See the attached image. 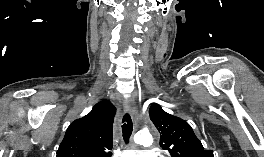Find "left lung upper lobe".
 Listing matches in <instances>:
<instances>
[{
    "mask_svg": "<svg viewBox=\"0 0 264 157\" xmlns=\"http://www.w3.org/2000/svg\"><path fill=\"white\" fill-rule=\"evenodd\" d=\"M150 119L160 133V145L172 157H214L205 150L191 126L181 118L166 113L159 105L149 109Z\"/></svg>",
    "mask_w": 264,
    "mask_h": 157,
    "instance_id": "5c2ea615",
    "label": "left lung upper lobe"
}]
</instances>
